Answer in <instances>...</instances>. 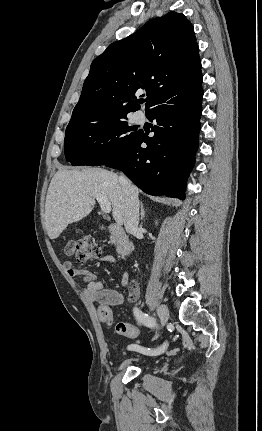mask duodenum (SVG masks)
<instances>
[{"label":"duodenum","instance_id":"obj_1","mask_svg":"<svg viewBox=\"0 0 262 431\" xmlns=\"http://www.w3.org/2000/svg\"><path fill=\"white\" fill-rule=\"evenodd\" d=\"M105 229L114 238L117 252L122 256H129L133 250V246L126 235L123 226L119 223H112L106 226Z\"/></svg>","mask_w":262,"mask_h":431}]
</instances>
